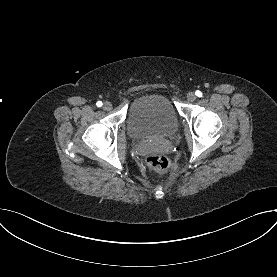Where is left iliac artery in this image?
Here are the masks:
<instances>
[{
	"mask_svg": "<svg viewBox=\"0 0 277 277\" xmlns=\"http://www.w3.org/2000/svg\"><path fill=\"white\" fill-rule=\"evenodd\" d=\"M198 97H201L202 96V92L201 91H196V93H195Z\"/></svg>",
	"mask_w": 277,
	"mask_h": 277,
	"instance_id": "1",
	"label": "left iliac artery"
}]
</instances>
